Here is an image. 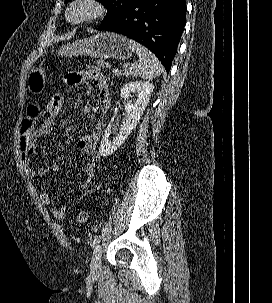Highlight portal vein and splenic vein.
I'll return each mask as SVG.
<instances>
[{"label": "portal vein and splenic vein", "instance_id": "18ae733b", "mask_svg": "<svg viewBox=\"0 0 272 303\" xmlns=\"http://www.w3.org/2000/svg\"><path fill=\"white\" fill-rule=\"evenodd\" d=\"M124 69H128V64H124ZM132 70V67L130 68Z\"/></svg>", "mask_w": 272, "mask_h": 303}]
</instances>
